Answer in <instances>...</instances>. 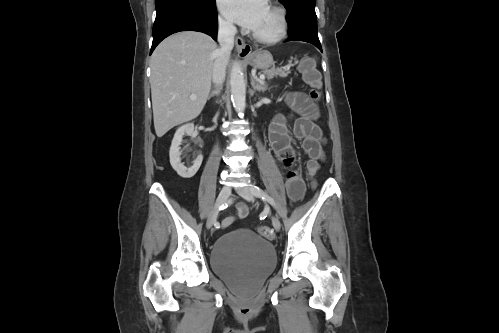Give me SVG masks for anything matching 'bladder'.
<instances>
[{"label":"bladder","mask_w":499,"mask_h":333,"mask_svg":"<svg viewBox=\"0 0 499 333\" xmlns=\"http://www.w3.org/2000/svg\"><path fill=\"white\" fill-rule=\"evenodd\" d=\"M213 271L220 278L246 288L262 282L276 266L274 246L252 230L239 228L222 234L210 251Z\"/></svg>","instance_id":"31cf9c89"}]
</instances>
